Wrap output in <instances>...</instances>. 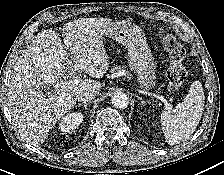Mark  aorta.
Segmentation results:
<instances>
[{"instance_id":"aorta-1","label":"aorta","mask_w":224,"mask_h":175,"mask_svg":"<svg viewBox=\"0 0 224 175\" xmlns=\"http://www.w3.org/2000/svg\"><path fill=\"white\" fill-rule=\"evenodd\" d=\"M112 105L118 109H124L129 104L128 96L123 92H117L112 96Z\"/></svg>"}]
</instances>
